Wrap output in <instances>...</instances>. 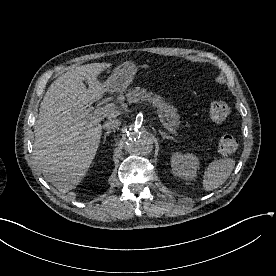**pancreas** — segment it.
Instances as JSON below:
<instances>
[{
  "label": "pancreas",
  "instance_id": "cf45deb5",
  "mask_svg": "<svg viewBox=\"0 0 276 276\" xmlns=\"http://www.w3.org/2000/svg\"><path fill=\"white\" fill-rule=\"evenodd\" d=\"M128 103H145L149 102L157 109L158 112L163 114L171 127L177 128L180 125L179 116L176 114L174 107L170 106L164 101L162 97L152 92H147L146 89L135 87L129 89L126 93Z\"/></svg>",
  "mask_w": 276,
  "mask_h": 276
}]
</instances>
